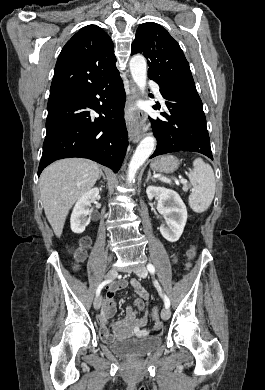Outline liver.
<instances>
[{"mask_svg": "<svg viewBox=\"0 0 265 390\" xmlns=\"http://www.w3.org/2000/svg\"><path fill=\"white\" fill-rule=\"evenodd\" d=\"M100 176L99 165L88 159L68 158L49 165L41 174L40 193L45 215L60 237L69 210Z\"/></svg>", "mask_w": 265, "mask_h": 390, "instance_id": "liver-1", "label": "liver"}]
</instances>
